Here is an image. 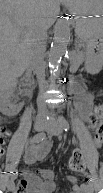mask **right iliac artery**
I'll return each instance as SVG.
<instances>
[{
	"mask_svg": "<svg viewBox=\"0 0 103 193\" xmlns=\"http://www.w3.org/2000/svg\"><path fill=\"white\" fill-rule=\"evenodd\" d=\"M45 133L41 132V133H37L34 135V137L32 138L31 142L32 143H38L40 141H42L45 138ZM11 180H14L17 178L18 176V171L15 169L13 172H11Z\"/></svg>",
	"mask_w": 103,
	"mask_h": 193,
	"instance_id": "1",
	"label": "right iliac artery"
}]
</instances>
